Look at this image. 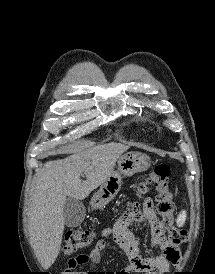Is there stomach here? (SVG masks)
<instances>
[{"mask_svg":"<svg viewBox=\"0 0 215 274\" xmlns=\"http://www.w3.org/2000/svg\"><path fill=\"white\" fill-rule=\"evenodd\" d=\"M150 158L139 152H129L118 159V169L101 184L100 189L93 195L91 205L94 209L103 208L120 191L122 176H132L135 173L146 171L150 166Z\"/></svg>","mask_w":215,"mask_h":274,"instance_id":"1","label":"stomach"}]
</instances>
